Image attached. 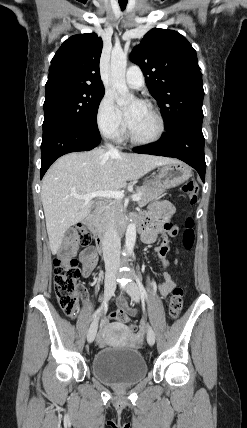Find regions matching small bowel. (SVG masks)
Returning <instances> with one entry per match:
<instances>
[{
    "instance_id": "1",
    "label": "small bowel",
    "mask_w": 247,
    "mask_h": 428,
    "mask_svg": "<svg viewBox=\"0 0 247 428\" xmlns=\"http://www.w3.org/2000/svg\"><path fill=\"white\" fill-rule=\"evenodd\" d=\"M174 214V207L169 201H161L155 203L151 210L140 218L145 222V227L142 231V239L146 243H151L156 239L158 232L164 228L169 235H175L176 227L172 224L171 218ZM169 246L166 242L154 248V254L159 262L163 265L165 271L163 273V282L159 286L162 297H167L175 287V281L169 273L168 269L171 262L167 258ZM97 252L93 248H88L81 253L80 259L82 262V274L84 277H89L97 264ZM119 309H126V302L123 298L118 301ZM136 310V309H135ZM133 324H131L132 326ZM103 328H107V323H103ZM128 342L134 344L141 340V335L130 332ZM97 343L104 346L108 343L105 335L102 333L97 337Z\"/></svg>"
}]
</instances>
